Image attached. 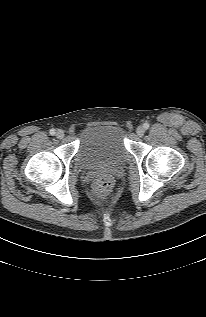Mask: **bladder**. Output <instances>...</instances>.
<instances>
[{"mask_svg": "<svg viewBox=\"0 0 206 317\" xmlns=\"http://www.w3.org/2000/svg\"><path fill=\"white\" fill-rule=\"evenodd\" d=\"M127 154L122 127L92 125L82 131L77 152L81 168H116L126 161Z\"/></svg>", "mask_w": 206, "mask_h": 317, "instance_id": "obj_1", "label": "bladder"}]
</instances>
